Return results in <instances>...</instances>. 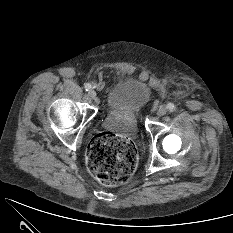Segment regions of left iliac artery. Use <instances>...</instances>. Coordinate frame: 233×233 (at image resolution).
Listing matches in <instances>:
<instances>
[{
	"instance_id": "obj_1",
	"label": "left iliac artery",
	"mask_w": 233,
	"mask_h": 233,
	"mask_svg": "<svg viewBox=\"0 0 233 233\" xmlns=\"http://www.w3.org/2000/svg\"><path fill=\"white\" fill-rule=\"evenodd\" d=\"M167 109H168L170 112H173V111H175L176 107H175V105H174L173 103H169V104L167 105Z\"/></svg>"
}]
</instances>
